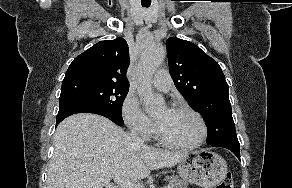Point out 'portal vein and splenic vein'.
<instances>
[{"label":"portal vein and splenic vein","instance_id":"portal-vein-and-splenic-vein-1","mask_svg":"<svg viewBox=\"0 0 292 188\" xmlns=\"http://www.w3.org/2000/svg\"><path fill=\"white\" fill-rule=\"evenodd\" d=\"M92 174H95L97 173L95 170H93L91 172ZM114 181L115 183H117L121 188H142L141 185L139 184H136L126 178H122V177H114ZM163 188H167L166 187H163Z\"/></svg>","mask_w":292,"mask_h":188}]
</instances>
